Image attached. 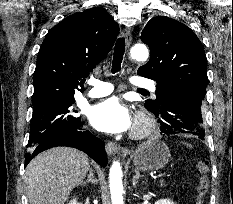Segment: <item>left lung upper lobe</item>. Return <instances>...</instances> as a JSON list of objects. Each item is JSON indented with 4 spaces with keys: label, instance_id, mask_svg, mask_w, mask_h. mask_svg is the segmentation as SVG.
Instances as JSON below:
<instances>
[{
    "label": "left lung upper lobe",
    "instance_id": "1",
    "mask_svg": "<svg viewBox=\"0 0 233 204\" xmlns=\"http://www.w3.org/2000/svg\"><path fill=\"white\" fill-rule=\"evenodd\" d=\"M141 40L149 46L151 54L137 74L157 82L156 100H146V109H158L160 101L177 86L206 91V55L189 27L169 17L156 16L148 21Z\"/></svg>",
    "mask_w": 233,
    "mask_h": 204
}]
</instances>
